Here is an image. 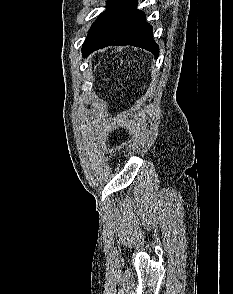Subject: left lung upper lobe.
<instances>
[{
	"label": "left lung upper lobe",
	"instance_id": "left-lung-upper-lobe-1",
	"mask_svg": "<svg viewBox=\"0 0 233 294\" xmlns=\"http://www.w3.org/2000/svg\"><path fill=\"white\" fill-rule=\"evenodd\" d=\"M111 2H112V0H108L107 4H110ZM101 15H102V14H101ZM101 15H100V16L97 18V20L93 23L91 29H90L89 32H88V35L90 34L92 28L94 27V25L96 24V22L98 21V19L101 17Z\"/></svg>",
	"mask_w": 233,
	"mask_h": 294
}]
</instances>
